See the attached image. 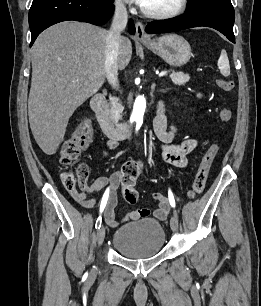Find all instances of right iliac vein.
<instances>
[{
  "label": "right iliac vein",
  "mask_w": 261,
  "mask_h": 306,
  "mask_svg": "<svg viewBox=\"0 0 261 306\" xmlns=\"http://www.w3.org/2000/svg\"><path fill=\"white\" fill-rule=\"evenodd\" d=\"M105 238V228L101 226L96 231V239L98 246H101Z\"/></svg>",
  "instance_id": "obj_1"
}]
</instances>
